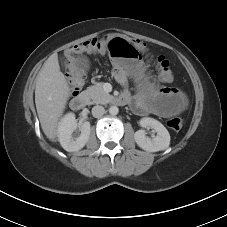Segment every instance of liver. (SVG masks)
Here are the masks:
<instances>
[{
    "mask_svg": "<svg viewBox=\"0 0 227 227\" xmlns=\"http://www.w3.org/2000/svg\"><path fill=\"white\" fill-rule=\"evenodd\" d=\"M70 97V87L60 70L58 57L52 54L38 73L35 104L41 128L46 137L56 141L59 120Z\"/></svg>",
    "mask_w": 227,
    "mask_h": 227,
    "instance_id": "6515ba94",
    "label": "liver"
}]
</instances>
